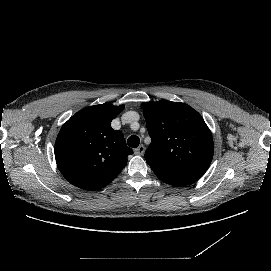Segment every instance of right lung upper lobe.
I'll use <instances>...</instances> for the list:
<instances>
[{"mask_svg": "<svg viewBox=\"0 0 271 271\" xmlns=\"http://www.w3.org/2000/svg\"><path fill=\"white\" fill-rule=\"evenodd\" d=\"M124 109L110 103L86 107L61 128L55 158L62 175L74 186L99 190L110 184L132 154L124 136L111 121Z\"/></svg>", "mask_w": 271, "mask_h": 271, "instance_id": "1", "label": "right lung upper lobe"}]
</instances>
